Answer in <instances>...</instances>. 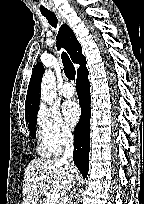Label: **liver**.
Listing matches in <instances>:
<instances>
[{
	"instance_id": "obj_1",
	"label": "liver",
	"mask_w": 144,
	"mask_h": 204,
	"mask_svg": "<svg viewBox=\"0 0 144 204\" xmlns=\"http://www.w3.org/2000/svg\"><path fill=\"white\" fill-rule=\"evenodd\" d=\"M76 168V167H75ZM72 171V172H71ZM46 176L49 181L36 180ZM80 179L79 172L73 171L63 159H33L27 166L23 180V204H37L41 194L48 190L66 196Z\"/></svg>"
}]
</instances>
